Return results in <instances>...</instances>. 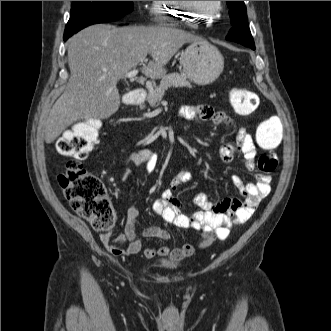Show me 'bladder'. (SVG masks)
I'll return each instance as SVG.
<instances>
[{"mask_svg": "<svg viewBox=\"0 0 331 331\" xmlns=\"http://www.w3.org/2000/svg\"><path fill=\"white\" fill-rule=\"evenodd\" d=\"M157 264L162 268L173 269L178 267L179 263L168 258L157 260Z\"/></svg>", "mask_w": 331, "mask_h": 331, "instance_id": "1", "label": "bladder"}]
</instances>
